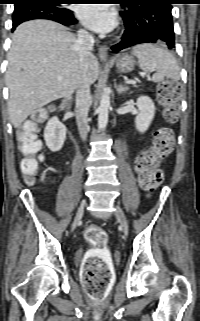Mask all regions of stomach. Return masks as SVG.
<instances>
[{"label":"stomach","instance_id":"stomach-1","mask_svg":"<svg viewBox=\"0 0 200 321\" xmlns=\"http://www.w3.org/2000/svg\"><path fill=\"white\" fill-rule=\"evenodd\" d=\"M116 68L121 73H130L134 70L136 60L128 54L118 55L115 59Z\"/></svg>","mask_w":200,"mask_h":321}]
</instances>
